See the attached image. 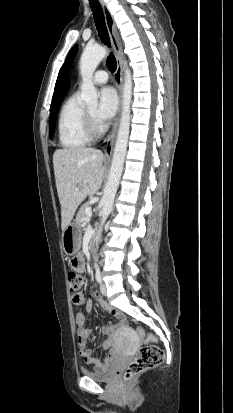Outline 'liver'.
Segmentation results:
<instances>
[{
  "label": "liver",
  "mask_w": 233,
  "mask_h": 413,
  "mask_svg": "<svg viewBox=\"0 0 233 413\" xmlns=\"http://www.w3.org/2000/svg\"><path fill=\"white\" fill-rule=\"evenodd\" d=\"M103 159V153L94 148H68L54 152L53 167L61 204L62 230L71 224L85 198L99 190L104 178ZM78 185L81 186L77 191Z\"/></svg>",
  "instance_id": "obj_1"
}]
</instances>
